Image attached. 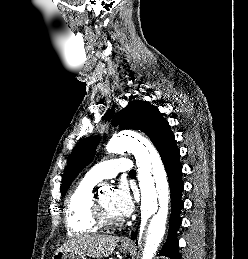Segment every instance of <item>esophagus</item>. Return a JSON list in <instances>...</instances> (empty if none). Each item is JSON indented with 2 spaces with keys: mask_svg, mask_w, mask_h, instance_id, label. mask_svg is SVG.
<instances>
[{
  "mask_svg": "<svg viewBox=\"0 0 248 259\" xmlns=\"http://www.w3.org/2000/svg\"><path fill=\"white\" fill-rule=\"evenodd\" d=\"M131 242H132V241H131L130 238H124V239L122 240V243H123V244H127V245H128V244H131Z\"/></svg>",
  "mask_w": 248,
  "mask_h": 259,
  "instance_id": "esophagus-1",
  "label": "esophagus"
}]
</instances>
